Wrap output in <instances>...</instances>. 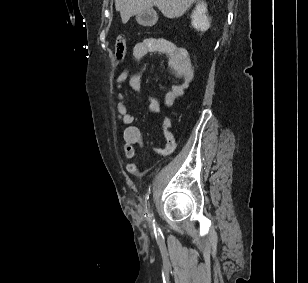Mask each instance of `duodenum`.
<instances>
[{
	"label": "duodenum",
	"mask_w": 308,
	"mask_h": 283,
	"mask_svg": "<svg viewBox=\"0 0 308 283\" xmlns=\"http://www.w3.org/2000/svg\"><path fill=\"white\" fill-rule=\"evenodd\" d=\"M147 22L153 23V22H154V17H153V16L148 17V18H147Z\"/></svg>",
	"instance_id": "duodenum-1"
}]
</instances>
